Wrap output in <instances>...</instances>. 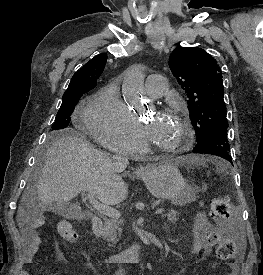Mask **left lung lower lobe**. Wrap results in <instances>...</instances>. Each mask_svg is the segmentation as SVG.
Returning <instances> with one entry per match:
<instances>
[{
    "label": "left lung lower lobe",
    "instance_id": "left-lung-lower-lobe-1",
    "mask_svg": "<svg viewBox=\"0 0 263 275\" xmlns=\"http://www.w3.org/2000/svg\"><path fill=\"white\" fill-rule=\"evenodd\" d=\"M229 151L230 146L227 139V129H221L207 135L199 140L192 150L194 153L216 155L232 162Z\"/></svg>",
    "mask_w": 263,
    "mask_h": 275
}]
</instances>
